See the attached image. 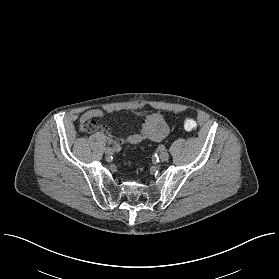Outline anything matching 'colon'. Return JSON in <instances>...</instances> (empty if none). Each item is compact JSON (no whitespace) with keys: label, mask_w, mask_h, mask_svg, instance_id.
Listing matches in <instances>:
<instances>
[{"label":"colon","mask_w":279,"mask_h":279,"mask_svg":"<svg viewBox=\"0 0 279 279\" xmlns=\"http://www.w3.org/2000/svg\"><path fill=\"white\" fill-rule=\"evenodd\" d=\"M183 127L186 131H194L197 128V122L195 121V119L191 118V117H185L183 119ZM82 130L85 132H92L93 129L90 126L89 123H86L82 126Z\"/></svg>","instance_id":"1"}]
</instances>
